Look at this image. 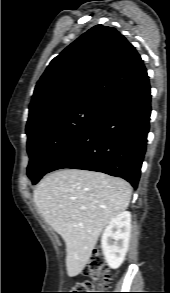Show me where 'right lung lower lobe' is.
<instances>
[{"mask_svg": "<svg viewBox=\"0 0 170 293\" xmlns=\"http://www.w3.org/2000/svg\"><path fill=\"white\" fill-rule=\"evenodd\" d=\"M150 114L147 76L105 101L86 131L54 161L48 172L62 168L103 172L121 177L137 188Z\"/></svg>", "mask_w": 170, "mask_h": 293, "instance_id": "98d812e1", "label": "right lung lower lobe"}]
</instances>
